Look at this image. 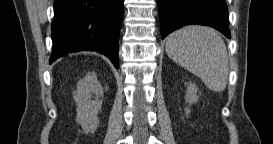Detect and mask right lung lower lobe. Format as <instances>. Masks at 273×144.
<instances>
[{
	"instance_id": "98d812e1",
	"label": "right lung lower lobe",
	"mask_w": 273,
	"mask_h": 144,
	"mask_svg": "<svg viewBox=\"0 0 273 144\" xmlns=\"http://www.w3.org/2000/svg\"><path fill=\"white\" fill-rule=\"evenodd\" d=\"M124 0H55L50 64L77 51H97L118 65Z\"/></svg>"
}]
</instances>
